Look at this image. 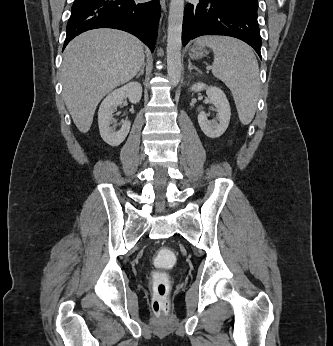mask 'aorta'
<instances>
[{
  "label": "aorta",
  "instance_id": "1",
  "mask_svg": "<svg viewBox=\"0 0 333 346\" xmlns=\"http://www.w3.org/2000/svg\"><path fill=\"white\" fill-rule=\"evenodd\" d=\"M183 12L184 0H171L168 17L167 73L173 86L178 85L181 77Z\"/></svg>",
  "mask_w": 333,
  "mask_h": 346
}]
</instances>
